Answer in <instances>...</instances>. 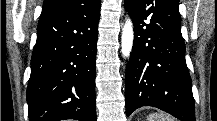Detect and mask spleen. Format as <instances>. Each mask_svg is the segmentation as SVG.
<instances>
[{
    "mask_svg": "<svg viewBox=\"0 0 217 121\" xmlns=\"http://www.w3.org/2000/svg\"><path fill=\"white\" fill-rule=\"evenodd\" d=\"M147 121H174L172 117L164 114L153 113L147 117Z\"/></svg>",
    "mask_w": 217,
    "mask_h": 121,
    "instance_id": "3e777b00",
    "label": "spleen"
}]
</instances>
